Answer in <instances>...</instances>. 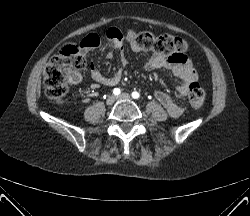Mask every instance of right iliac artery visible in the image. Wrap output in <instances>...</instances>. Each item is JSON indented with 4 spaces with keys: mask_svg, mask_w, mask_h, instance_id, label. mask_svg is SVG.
I'll list each match as a JSON object with an SVG mask.
<instances>
[{
    "mask_svg": "<svg viewBox=\"0 0 250 216\" xmlns=\"http://www.w3.org/2000/svg\"><path fill=\"white\" fill-rule=\"evenodd\" d=\"M120 93H121V91H120L119 88H115V89L113 90V94H114V95H119Z\"/></svg>",
    "mask_w": 250,
    "mask_h": 216,
    "instance_id": "obj_1",
    "label": "right iliac artery"
}]
</instances>
